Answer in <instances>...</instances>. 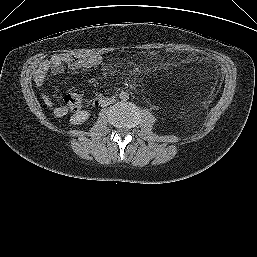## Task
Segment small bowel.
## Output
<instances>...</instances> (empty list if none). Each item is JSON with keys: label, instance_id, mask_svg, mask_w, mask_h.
<instances>
[{"label": "small bowel", "instance_id": "obj_1", "mask_svg": "<svg viewBox=\"0 0 257 257\" xmlns=\"http://www.w3.org/2000/svg\"><path fill=\"white\" fill-rule=\"evenodd\" d=\"M102 61V56L95 53L54 55L50 59L44 60L39 64L34 73V81L38 86H41L48 72H51L53 75H59L64 71V65H67L72 70H76L97 67ZM43 100L44 103L53 110L56 117H63L67 114V108L55 105L48 95L44 94Z\"/></svg>", "mask_w": 257, "mask_h": 257}]
</instances>
